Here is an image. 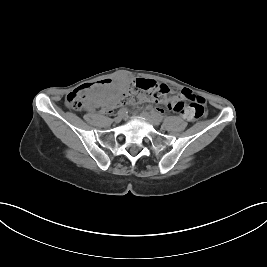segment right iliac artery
<instances>
[{
    "label": "right iliac artery",
    "instance_id": "right-iliac-artery-1",
    "mask_svg": "<svg viewBox=\"0 0 267 267\" xmlns=\"http://www.w3.org/2000/svg\"><path fill=\"white\" fill-rule=\"evenodd\" d=\"M125 113H127V109H125V108H122V109H120L119 111H118V114H125Z\"/></svg>",
    "mask_w": 267,
    "mask_h": 267
}]
</instances>
